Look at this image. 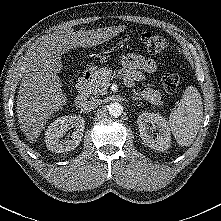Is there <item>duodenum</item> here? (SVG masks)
<instances>
[{"label": "duodenum", "mask_w": 221, "mask_h": 221, "mask_svg": "<svg viewBox=\"0 0 221 221\" xmlns=\"http://www.w3.org/2000/svg\"><path fill=\"white\" fill-rule=\"evenodd\" d=\"M89 79H90V73L87 71H84L83 73H81V75L79 76L77 80L76 89H77L78 94L75 100V107L77 109H82L88 100L86 88H87Z\"/></svg>", "instance_id": "410a0bca"}]
</instances>
